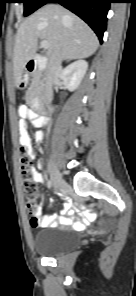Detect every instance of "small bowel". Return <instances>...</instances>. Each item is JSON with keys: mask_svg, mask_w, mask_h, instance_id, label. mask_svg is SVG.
<instances>
[{"mask_svg": "<svg viewBox=\"0 0 136 296\" xmlns=\"http://www.w3.org/2000/svg\"><path fill=\"white\" fill-rule=\"evenodd\" d=\"M19 113L21 116L27 117L28 119H30L33 124H35V122L38 118V116L35 113L28 110L24 106H21L19 108ZM19 135H20L21 144L29 147L30 130H29L28 125L24 119H21L19 121ZM34 137L36 140H41L43 138V132L42 131L35 132ZM28 153L30 155H32V152L30 150H28ZM37 168L38 169L42 168V164L40 162L37 163ZM33 172H34V176H35L36 181L38 183H42L43 182L42 174L39 171H37L36 169H33ZM35 217L37 219L36 222H32V220H31V224L34 228L54 227L57 225L73 226L77 223V220L71 214H65L60 217H57L54 214H47V215L42 216L40 209H37V211L35 213ZM91 217H92L91 213L83 214L84 219H89Z\"/></svg>", "mask_w": 136, "mask_h": 296, "instance_id": "obj_1", "label": "small bowel"}]
</instances>
